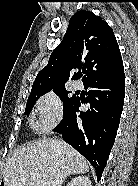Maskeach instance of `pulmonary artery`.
<instances>
[{
    "label": "pulmonary artery",
    "mask_w": 138,
    "mask_h": 186,
    "mask_svg": "<svg viewBox=\"0 0 138 186\" xmlns=\"http://www.w3.org/2000/svg\"><path fill=\"white\" fill-rule=\"evenodd\" d=\"M80 87H81V84H80L79 81H74V82H73V88H74L75 90L80 89Z\"/></svg>",
    "instance_id": "pulmonary-artery-1"
}]
</instances>
